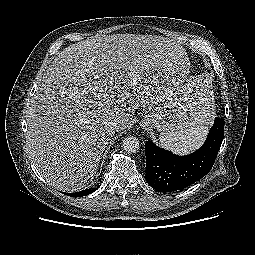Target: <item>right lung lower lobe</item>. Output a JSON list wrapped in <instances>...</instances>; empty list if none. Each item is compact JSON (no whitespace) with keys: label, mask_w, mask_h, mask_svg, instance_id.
Listing matches in <instances>:
<instances>
[{"label":"right lung lower lobe","mask_w":255,"mask_h":255,"mask_svg":"<svg viewBox=\"0 0 255 255\" xmlns=\"http://www.w3.org/2000/svg\"><path fill=\"white\" fill-rule=\"evenodd\" d=\"M96 190H97V188H88V189H85V190L80 191V192L66 193V194L71 196V197H82V196L89 195V194L93 193Z\"/></svg>","instance_id":"1"}]
</instances>
